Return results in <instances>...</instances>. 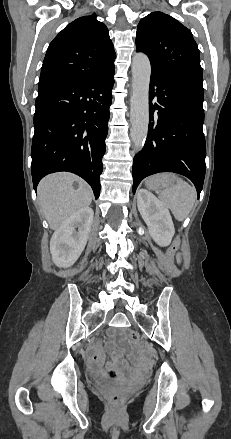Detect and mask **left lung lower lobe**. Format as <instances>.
<instances>
[{
    "label": "left lung lower lobe",
    "mask_w": 231,
    "mask_h": 439,
    "mask_svg": "<svg viewBox=\"0 0 231 439\" xmlns=\"http://www.w3.org/2000/svg\"><path fill=\"white\" fill-rule=\"evenodd\" d=\"M203 98L202 80L151 74L150 124L146 143L134 157L133 193L145 177L175 172L188 177L200 195L206 167Z\"/></svg>",
    "instance_id": "obj_1"
}]
</instances>
